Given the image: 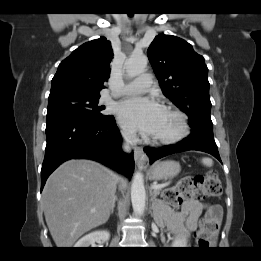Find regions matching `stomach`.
<instances>
[{
    "instance_id": "obj_1",
    "label": "stomach",
    "mask_w": 261,
    "mask_h": 261,
    "mask_svg": "<svg viewBox=\"0 0 261 261\" xmlns=\"http://www.w3.org/2000/svg\"><path fill=\"white\" fill-rule=\"evenodd\" d=\"M181 166L179 162L167 160L153 164L149 170V177L153 180L172 178L179 174Z\"/></svg>"
}]
</instances>
